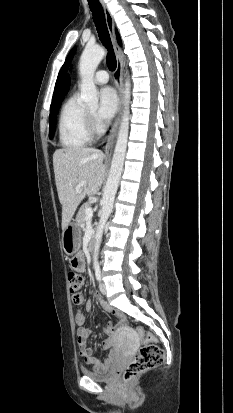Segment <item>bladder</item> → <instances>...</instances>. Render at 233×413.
Instances as JSON below:
<instances>
[{
    "instance_id": "31cf9c89",
    "label": "bladder",
    "mask_w": 233,
    "mask_h": 413,
    "mask_svg": "<svg viewBox=\"0 0 233 413\" xmlns=\"http://www.w3.org/2000/svg\"><path fill=\"white\" fill-rule=\"evenodd\" d=\"M83 376L98 382H109L113 378V372L110 369L102 371L82 370Z\"/></svg>"
}]
</instances>
